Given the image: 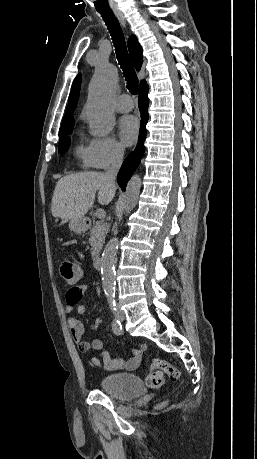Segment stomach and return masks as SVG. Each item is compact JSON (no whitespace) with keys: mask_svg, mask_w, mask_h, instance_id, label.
Returning <instances> with one entry per match:
<instances>
[{"mask_svg":"<svg viewBox=\"0 0 257 459\" xmlns=\"http://www.w3.org/2000/svg\"><path fill=\"white\" fill-rule=\"evenodd\" d=\"M69 229L74 233L80 234L85 229V219L82 217L70 220Z\"/></svg>","mask_w":257,"mask_h":459,"instance_id":"stomach-1","label":"stomach"}]
</instances>
